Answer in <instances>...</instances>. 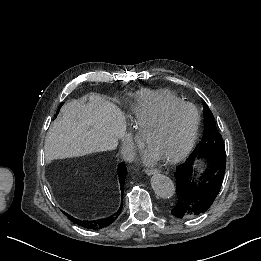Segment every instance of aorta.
Instances as JSON below:
<instances>
[{
  "label": "aorta",
  "instance_id": "obj_1",
  "mask_svg": "<svg viewBox=\"0 0 261 261\" xmlns=\"http://www.w3.org/2000/svg\"><path fill=\"white\" fill-rule=\"evenodd\" d=\"M151 186L154 192L161 198H171L175 194L173 181L163 174H155L151 178Z\"/></svg>",
  "mask_w": 261,
  "mask_h": 261
}]
</instances>
